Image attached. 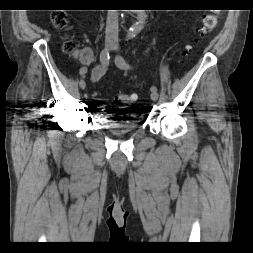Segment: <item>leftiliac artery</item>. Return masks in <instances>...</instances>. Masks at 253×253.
<instances>
[{"label": "left iliac artery", "mask_w": 253, "mask_h": 253, "mask_svg": "<svg viewBox=\"0 0 253 253\" xmlns=\"http://www.w3.org/2000/svg\"><path fill=\"white\" fill-rule=\"evenodd\" d=\"M116 64L118 65L119 68L121 69H129L131 66L125 61V59L121 56L116 57ZM151 91H157L156 86L151 87Z\"/></svg>", "instance_id": "obj_1"}]
</instances>
